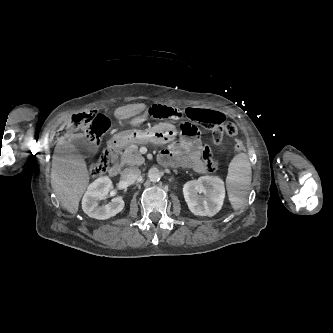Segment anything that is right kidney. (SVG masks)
<instances>
[{
	"label": "right kidney",
	"mask_w": 333,
	"mask_h": 333,
	"mask_svg": "<svg viewBox=\"0 0 333 333\" xmlns=\"http://www.w3.org/2000/svg\"><path fill=\"white\" fill-rule=\"evenodd\" d=\"M112 189V181L109 177H100L93 181L87 188L82 198L83 211L95 219H108L121 212L124 208V201L121 196H117L108 204L99 205V201L103 200Z\"/></svg>",
	"instance_id": "1"
}]
</instances>
